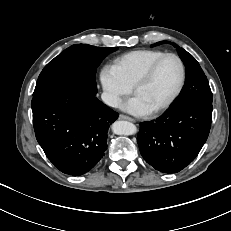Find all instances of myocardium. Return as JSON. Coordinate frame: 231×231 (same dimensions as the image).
I'll return each instance as SVG.
<instances>
[{"label":"myocardium","mask_w":231,"mask_h":231,"mask_svg":"<svg viewBox=\"0 0 231 231\" xmlns=\"http://www.w3.org/2000/svg\"><path fill=\"white\" fill-rule=\"evenodd\" d=\"M174 58L177 60V62L179 63L180 66V80L178 83L177 88L175 89V91L172 93V95L161 105H159L158 107H156L155 109H153L151 111L152 114H158L161 113L163 111H165L166 109H168L174 102L175 100L179 97V95L181 94L184 86H185V82H186V66L184 61L182 60V58L175 54V53H164L161 56H159L158 58H156L145 70L144 72L139 76V78L136 80V82L133 84L132 89L133 92L136 93L137 89L140 88L142 85L146 84L151 77L153 76L157 66L159 65V63L164 60L165 58Z\"/></svg>","instance_id":"1"}]
</instances>
